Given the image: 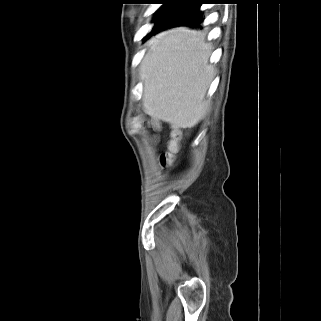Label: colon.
Segmentation results:
<instances>
[{"label":"colon","instance_id":"obj_1","mask_svg":"<svg viewBox=\"0 0 321 321\" xmlns=\"http://www.w3.org/2000/svg\"><path fill=\"white\" fill-rule=\"evenodd\" d=\"M181 139V133L178 130H173L172 139L169 143L168 150L162 154L161 163L164 166L171 165L174 159V155L178 150L179 141Z\"/></svg>","mask_w":321,"mask_h":321}]
</instances>
